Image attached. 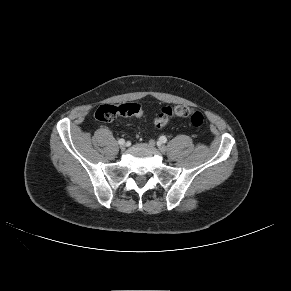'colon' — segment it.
<instances>
[{
    "mask_svg": "<svg viewBox=\"0 0 291 291\" xmlns=\"http://www.w3.org/2000/svg\"><path fill=\"white\" fill-rule=\"evenodd\" d=\"M143 109L141 104L136 102L124 103L121 105H101L94 114V118L99 122L112 121L117 116L141 117ZM174 118H189L190 123L196 128H202L205 123L203 114L186 105H177L174 107H163L155 116L154 124L156 127H165Z\"/></svg>",
    "mask_w": 291,
    "mask_h": 291,
    "instance_id": "colon-1",
    "label": "colon"
}]
</instances>
